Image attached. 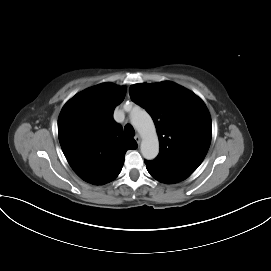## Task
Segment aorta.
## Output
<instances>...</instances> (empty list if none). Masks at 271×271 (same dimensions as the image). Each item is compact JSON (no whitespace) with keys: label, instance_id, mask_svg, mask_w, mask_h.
I'll list each match as a JSON object with an SVG mask.
<instances>
[{"label":"aorta","instance_id":"762f6f07","mask_svg":"<svg viewBox=\"0 0 271 271\" xmlns=\"http://www.w3.org/2000/svg\"><path fill=\"white\" fill-rule=\"evenodd\" d=\"M131 123L142 137L141 153L147 160H153L159 153V141L156 128L151 116L143 109L134 110Z\"/></svg>","mask_w":271,"mask_h":271}]
</instances>
